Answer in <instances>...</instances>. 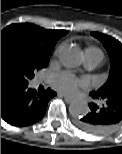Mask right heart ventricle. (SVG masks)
<instances>
[{"label":"right heart ventricle","mask_w":122,"mask_h":154,"mask_svg":"<svg viewBox=\"0 0 122 154\" xmlns=\"http://www.w3.org/2000/svg\"><path fill=\"white\" fill-rule=\"evenodd\" d=\"M86 52H94V53H98V54L102 55L101 51L96 47H89L85 50V53Z\"/></svg>","instance_id":"obj_1"}]
</instances>
